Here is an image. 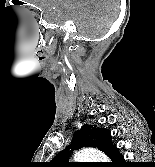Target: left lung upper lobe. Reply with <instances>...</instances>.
I'll return each instance as SVG.
<instances>
[{
  "label": "left lung upper lobe",
  "instance_id": "1",
  "mask_svg": "<svg viewBox=\"0 0 155 167\" xmlns=\"http://www.w3.org/2000/svg\"><path fill=\"white\" fill-rule=\"evenodd\" d=\"M95 147L109 156L115 145L111 142L110 131L92 125H83L81 130L75 132L71 144L59 152L49 163L48 167H81L80 163L69 162L71 153L75 149Z\"/></svg>",
  "mask_w": 155,
  "mask_h": 167
}]
</instances>
